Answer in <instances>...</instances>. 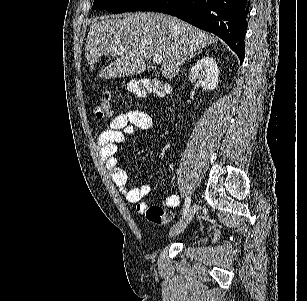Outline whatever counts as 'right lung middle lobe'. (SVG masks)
<instances>
[{
    "label": "right lung middle lobe",
    "mask_w": 307,
    "mask_h": 301,
    "mask_svg": "<svg viewBox=\"0 0 307 301\" xmlns=\"http://www.w3.org/2000/svg\"><path fill=\"white\" fill-rule=\"evenodd\" d=\"M153 0H95L92 10L105 9L114 14L142 11Z\"/></svg>",
    "instance_id": "obj_1"
}]
</instances>
